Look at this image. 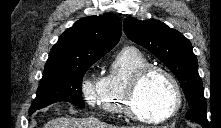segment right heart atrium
<instances>
[{"mask_svg": "<svg viewBox=\"0 0 221 128\" xmlns=\"http://www.w3.org/2000/svg\"><path fill=\"white\" fill-rule=\"evenodd\" d=\"M102 83L103 79L100 76L92 70L88 71L87 77L84 79L82 85V93L88 104L95 105L99 97Z\"/></svg>", "mask_w": 221, "mask_h": 128, "instance_id": "1", "label": "right heart atrium"}]
</instances>
